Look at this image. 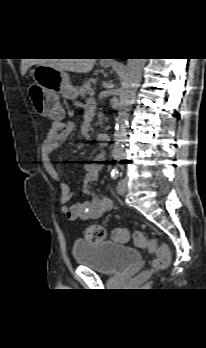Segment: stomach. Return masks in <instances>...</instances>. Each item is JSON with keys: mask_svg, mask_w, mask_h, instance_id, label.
I'll list each match as a JSON object with an SVG mask.
<instances>
[{"mask_svg": "<svg viewBox=\"0 0 206 348\" xmlns=\"http://www.w3.org/2000/svg\"><path fill=\"white\" fill-rule=\"evenodd\" d=\"M32 76L41 92L40 101L34 103L36 111L44 116L53 113L51 104L56 105L57 97L61 95L67 99H75L78 90L70 83L69 75L65 71L55 69L50 66L38 65L33 69Z\"/></svg>", "mask_w": 206, "mask_h": 348, "instance_id": "stomach-1", "label": "stomach"}]
</instances>
